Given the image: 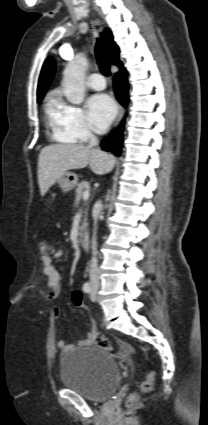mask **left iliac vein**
Listing matches in <instances>:
<instances>
[{
    "instance_id": "left-iliac-vein-1",
    "label": "left iliac vein",
    "mask_w": 208,
    "mask_h": 425,
    "mask_svg": "<svg viewBox=\"0 0 208 425\" xmlns=\"http://www.w3.org/2000/svg\"><path fill=\"white\" fill-rule=\"evenodd\" d=\"M98 287H99V283L95 282L92 284L90 298L93 301L96 300V293H97Z\"/></svg>"
}]
</instances>
